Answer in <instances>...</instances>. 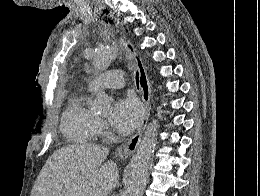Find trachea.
<instances>
[{
  "label": "trachea",
  "instance_id": "1",
  "mask_svg": "<svg viewBox=\"0 0 260 196\" xmlns=\"http://www.w3.org/2000/svg\"><path fill=\"white\" fill-rule=\"evenodd\" d=\"M136 86L139 88V76L138 73L136 74Z\"/></svg>",
  "mask_w": 260,
  "mask_h": 196
}]
</instances>
